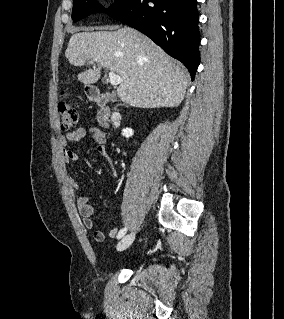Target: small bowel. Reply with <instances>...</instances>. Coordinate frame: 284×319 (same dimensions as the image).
<instances>
[{
    "mask_svg": "<svg viewBox=\"0 0 284 319\" xmlns=\"http://www.w3.org/2000/svg\"><path fill=\"white\" fill-rule=\"evenodd\" d=\"M89 135L92 140L96 143V150L99 155L103 157H107V150H106V134L97 127H91L89 129H85L83 127H78L73 131L67 132L61 139L60 143L62 146H66L68 142H79L83 138ZM79 156L78 154L69 149H64L63 151V160L66 163L76 162L78 161ZM68 184L73 190L79 189L78 182L73 177H68ZM77 208L82 216L83 224L86 229H92L94 226V222L92 216L95 212V208L93 204L90 202L89 197L86 195H81L77 198ZM118 228H112L109 231L110 237H115L118 235ZM105 233L103 231H95L94 232V239L97 242H102L105 240Z\"/></svg>",
    "mask_w": 284,
    "mask_h": 319,
    "instance_id": "small-bowel-1",
    "label": "small bowel"
}]
</instances>
